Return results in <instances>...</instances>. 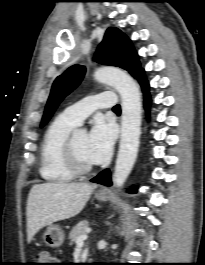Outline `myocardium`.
I'll list each match as a JSON object with an SVG mask.
<instances>
[{
	"label": "myocardium",
	"instance_id": "myocardium-1",
	"mask_svg": "<svg viewBox=\"0 0 205 265\" xmlns=\"http://www.w3.org/2000/svg\"><path fill=\"white\" fill-rule=\"evenodd\" d=\"M74 136L75 134H72L69 136L66 144V162L70 170L77 175H85L93 171L94 166L83 164L76 153L75 145H74Z\"/></svg>",
	"mask_w": 205,
	"mask_h": 265
}]
</instances>
